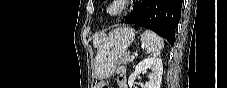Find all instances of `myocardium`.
I'll list each match as a JSON object with an SVG mask.
<instances>
[{
    "instance_id": "f54148a6",
    "label": "myocardium",
    "mask_w": 227,
    "mask_h": 88,
    "mask_svg": "<svg viewBox=\"0 0 227 88\" xmlns=\"http://www.w3.org/2000/svg\"><path fill=\"white\" fill-rule=\"evenodd\" d=\"M128 0H113L105 9V14L109 18L121 16L127 9Z\"/></svg>"
}]
</instances>
